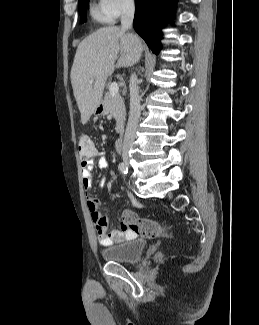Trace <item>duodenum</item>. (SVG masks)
Returning a JSON list of instances; mask_svg holds the SVG:
<instances>
[{"instance_id":"obj_1","label":"duodenum","mask_w":259,"mask_h":325,"mask_svg":"<svg viewBox=\"0 0 259 325\" xmlns=\"http://www.w3.org/2000/svg\"><path fill=\"white\" fill-rule=\"evenodd\" d=\"M123 147H124V138L120 137L117 139L116 143H115V149L117 152H122L123 151Z\"/></svg>"}]
</instances>
